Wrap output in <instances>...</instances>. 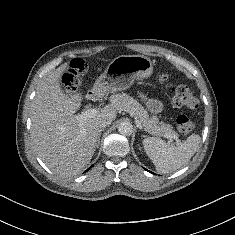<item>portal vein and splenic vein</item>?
<instances>
[{
	"mask_svg": "<svg viewBox=\"0 0 235 235\" xmlns=\"http://www.w3.org/2000/svg\"><path fill=\"white\" fill-rule=\"evenodd\" d=\"M98 112L99 111L96 108H88L84 112H82L81 114L76 115L75 118L78 121L82 122L84 120H87L88 118H93L94 116H96L98 114ZM134 119H135V123H136L137 127L139 129H143L140 121L136 117ZM167 138H169L170 142L173 141L171 136H168ZM178 144H181V142L178 141Z\"/></svg>",
	"mask_w": 235,
	"mask_h": 235,
	"instance_id": "portal-vein-and-splenic-vein-1",
	"label": "portal vein and splenic vein"
}]
</instances>
